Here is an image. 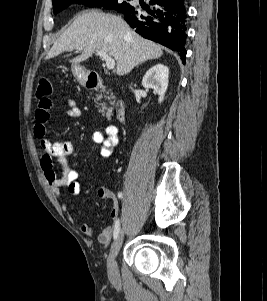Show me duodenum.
Listing matches in <instances>:
<instances>
[{"instance_id": "410a0bca", "label": "duodenum", "mask_w": 267, "mask_h": 301, "mask_svg": "<svg viewBox=\"0 0 267 301\" xmlns=\"http://www.w3.org/2000/svg\"><path fill=\"white\" fill-rule=\"evenodd\" d=\"M86 87L89 89H101L105 88L102 79L97 75H86L85 77ZM126 117V106L122 99H119L116 103V119L119 122H124Z\"/></svg>"}]
</instances>
